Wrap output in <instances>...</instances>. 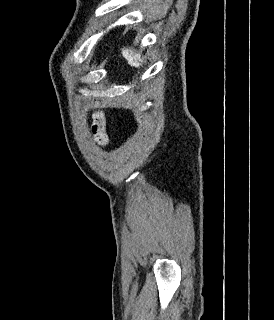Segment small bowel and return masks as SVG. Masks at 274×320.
<instances>
[{"label": "small bowel", "instance_id": "c3829d8e", "mask_svg": "<svg viewBox=\"0 0 274 320\" xmlns=\"http://www.w3.org/2000/svg\"><path fill=\"white\" fill-rule=\"evenodd\" d=\"M91 132L100 144L108 145L109 140L105 131V117L100 111H95L93 113Z\"/></svg>", "mask_w": 274, "mask_h": 320}]
</instances>
